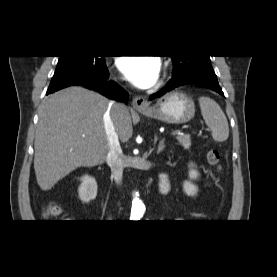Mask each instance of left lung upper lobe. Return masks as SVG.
I'll return each instance as SVG.
<instances>
[{
    "label": "left lung upper lobe",
    "mask_w": 277,
    "mask_h": 277,
    "mask_svg": "<svg viewBox=\"0 0 277 277\" xmlns=\"http://www.w3.org/2000/svg\"><path fill=\"white\" fill-rule=\"evenodd\" d=\"M173 76L214 72L209 56H171Z\"/></svg>",
    "instance_id": "1"
}]
</instances>
